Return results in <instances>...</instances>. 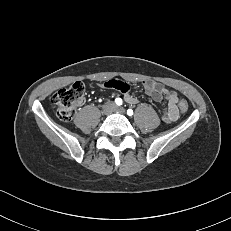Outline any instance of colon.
Listing matches in <instances>:
<instances>
[{"label":"colon","mask_w":231,"mask_h":231,"mask_svg":"<svg viewBox=\"0 0 231 231\" xmlns=\"http://www.w3.org/2000/svg\"><path fill=\"white\" fill-rule=\"evenodd\" d=\"M85 86L81 82H75L69 87L57 90L51 98L56 108L57 116L62 121H71L77 108L81 105L85 97ZM181 112H186L189 104L185 99L178 102Z\"/></svg>","instance_id":"1"}]
</instances>
